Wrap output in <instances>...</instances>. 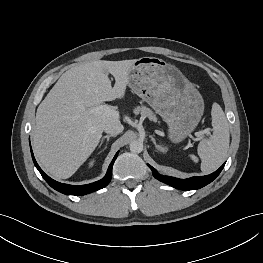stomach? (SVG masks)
<instances>
[{"label": "stomach", "mask_w": 263, "mask_h": 263, "mask_svg": "<svg viewBox=\"0 0 263 263\" xmlns=\"http://www.w3.org/2000/svg\"><path fill=\"white\" fill-rule=\"evenodd\" d=\"M128 77L132 92L167 123L172 142L180 143L196 128L204 101L178 68L156 57H142L135 59Z\"/></svg>", "instance_id": "stomach-1"}]
</instances>
